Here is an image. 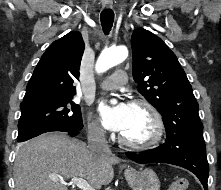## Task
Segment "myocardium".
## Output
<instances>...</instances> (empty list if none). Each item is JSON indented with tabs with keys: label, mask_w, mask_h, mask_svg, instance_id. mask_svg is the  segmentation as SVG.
Listing matches in <instances>:
<instances>
[{
	"label": "myocardium",
	"mask_w": 221,
	"mask_h": 190,
	"mask_svg": "<svg viewBox=\"0 0 221 190\" xmlns=\"http://www.w3.org/2000/svg\"><path fill=\"white\" fill-rule=\"evenodd\" d=\"M130 105L142 107L149 113L152 120L151 134L146 140L138 142L129 140L124 135L119 134V142L134 150H147L155 147L161 141L165 130L164 120L160 111L154 104L144 98H135L131 101Z\"/></svg>",
	"instance_id": "f54148a6"
}]
</instances>
